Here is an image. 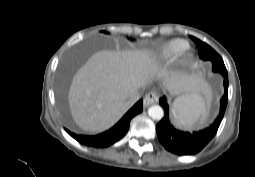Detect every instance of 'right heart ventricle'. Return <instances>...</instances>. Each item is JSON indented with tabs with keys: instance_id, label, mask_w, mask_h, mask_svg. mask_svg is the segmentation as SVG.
<instances>
[{
	"instance_id": "1",
	"label": "right heart ventricle",
	"mask_w": 255,
	"mask_h": 177,
	"mask_svg": "<svg viewBox=\"0 0 255 177\" xmlns=\"http://www.w3.org/2000/svg\"><path fill=\"white\" fill-rule=\"evenodd\" d=\"M188 46L183 39H172L164 43L158 50V57L163 61H172Z\"/></svg>"
}]
</instances>
